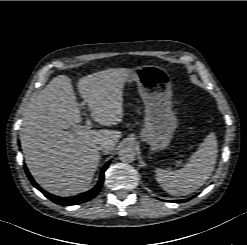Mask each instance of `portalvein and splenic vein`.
<instances>
[{"label": "portal vein and splenic vein", "mask_w": 247, "mask_h": 245, "mask_svg": "<svg viewBox=\"0 0 247 245\" xmlns=\"http://www.w3.org/2000/svg\"><path fill=\"white\" fill-rule=\"evenodd\" d=\"M84 104V103H83ZM91 121L87 118L86 124L84 126H76L75 129H80L83 128L85 130H90L91 129Z\"/></svg>", "instance_id": "1"}]
</instances>
